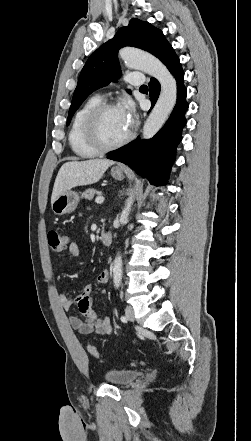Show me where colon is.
Instances as JSON below:
<instances>
[{"label":"colon","mask_w":251,"mask_h":441,"mask_svg":"<svg viewBox=\"0 0 251 441\" xmlns=\"http://www.w3.org/2000/svg\"><path fill=\"white\" fill-rule=\"evenodd\" d=\"M48 243L54 251L61 252L68 246V237L60 231L52 230L48 233ZM88 351L93 357H99V351L95 346L90 345ZM132 365H143V363H132Z\"/></svg>","instance_id":"obj_1"}]
</instances>
